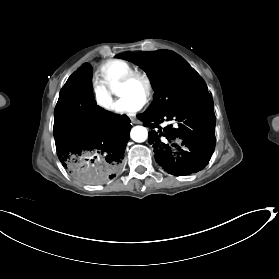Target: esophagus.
I'll list each match as a JSON object with an SVG mask.
<instances>
[{
    "label": "esophagus",
    "instance_id": "34e87169",
    "mask_svg": "<svg viewBox=\"0 0 279 279\" xmlns=\"http://www.w3.org/2000/svg\"><path fill=\"white\" fill-rule=\"evenodd\" d=\"M130 120L134 124H138L139 123V121L135 117H130Z\"/></svg>",
    "mask_w": 279,
    "mask_h": 279
}]
</instances>
